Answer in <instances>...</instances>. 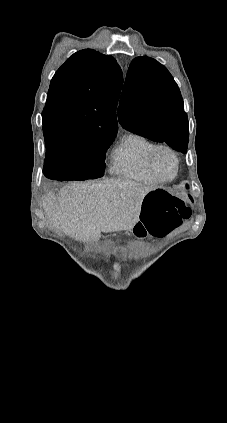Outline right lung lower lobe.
<instances>
[{
  "label": "right lung lower lobe",
  "instance_id": "right-lung-lower-lobe-1",
  "mask_svg": "<svg viewBox=\"0 0 227 423\" xmlns=\"http://www.w3.org/2000/svg\"><path fill=\"white\" fill-rule=\"evenodd\" d=\"M44 175L52 180L70 181L71 167L59 164L57 162L45 163L43 168Z\"/></svg>",
  "mask_w": 227,
  "mask_h": 423
}]
</instances>
